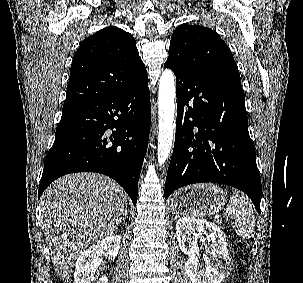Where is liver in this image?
Segmentation results:
<instances>
[{"instance_id":"1","label":"liver","mask_w":303,"mask_h":283,"mask_svg":"<svg viewBox=\"0 0 303 283\" xmlns=\"http://www.w3.org/2000/svg\"><path fill=\"white\" fill-rule=\"evenodd\" d=\"M127 208L125 191L96 173L69 174L41 198L42 228L59 278L68 283L78 256L116 229Z\"/></svg>"}]
</instances>
